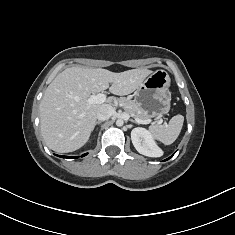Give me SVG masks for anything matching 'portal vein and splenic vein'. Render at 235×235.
<instances>
[{
  "mask_svg": "<svg viewBox=\"0 0 235 235\" xmlns=\"http://www.w3.org/2000/svg\"><path fill=\"white\" fill-rule=\"evenodd\" d=\"M106 101V96L102 93H99L97 95H91L90 98L88 99V106L92 104H101ZM136 122L139 124H149L151 120H141V119H136Z\"/></svg>",
  "mask_w": 235,
  "mask_h": 235,
  "instance_id": "obj_1",
  "label": "portal vein and splenic vein"
}]
</instances>
